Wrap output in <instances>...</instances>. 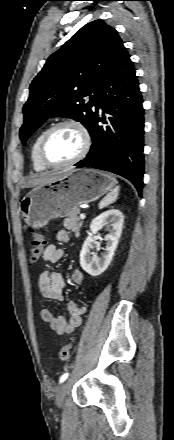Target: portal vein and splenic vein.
I'll return each mask as SVG.
<instances>
[{"instance_id": "obj_1", "label": "portal vein and splenic vein", "mask_w": 174, "mask_h": 440, "mask_svg": "<svg viewBox=\"0 0 174 440\" xmlns=\"http://www.w3.org/2000/svg\"><path fill=\"white\" fill-rule=\"evenodd\" d=\"M79 218H80L81 220H84V219L86 218V215H85L84 213H81L80 216H79Z\"/></svg>"}]
</instances>
